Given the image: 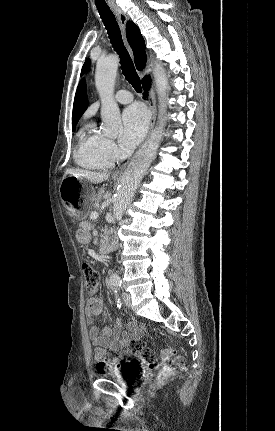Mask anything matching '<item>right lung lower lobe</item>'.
I'll return each instance as SVG.
<instances>
[{
	"mask_svg": "<svg viewBox=\"0 0 275 431\" xmlns=\"http://www.w3.org/2000/svg\"><path fill=\"white\" fill-rule=\"evenodd\" d=\"M142 84H143V87L145 89V96H144V98H145L147 96V91H148V89L151 86V79H150V77L149 76H145L143 78V80H142Z\"/></svg>",
	"mask_w": 275,
	"mask_h": 431,
	"instance_id": "right-lung-lower-lobe-1",
	"label": "right lung lower lobe"
}]
</instances>
